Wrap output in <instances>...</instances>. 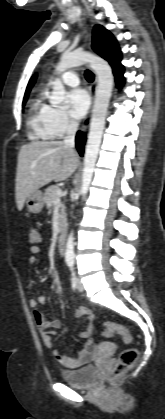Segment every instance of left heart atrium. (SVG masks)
Instances as JSON below:
<instances>
[{
	"instance_id": "39dd6f15",
	"label": "left heart atrium",
	"mask_w": 165,
	"mask_h": 419,
	"mask_svg": "<svg viewBox=\"0 0 165 419\" xmlns=\"http://www.w3.org/2000/svg\"><path fill=\"white\" fill-rule=\"evenodd\" d=\"M69 112L72 117L81 119L89 109V96L83 89L77 88L71 90L68 95Z\"/></svg>"
}]
</instances>
